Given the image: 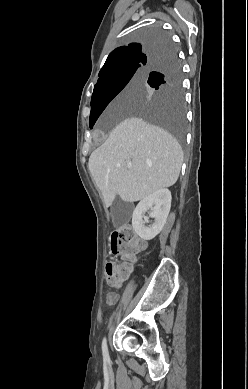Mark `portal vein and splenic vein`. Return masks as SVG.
<instances>
[{
    "label": "portal vein and splenic vein",
    "instance_id": "portal-vein-and-splenic-vein-1",
    "mask_svg": "<svg viewBox=\"0 0 248 389\" xmlns=\"http://www.w3.org/2000/svg\"><path fill=\"white\" fill-rule=\"evenodd\" d=\"M127 167H128V168H131V167H132V164H131V163H128V164H127Z\"/></svg>",
    "mask_w": 248,
    "mask_h": 389
}]
</instances>
